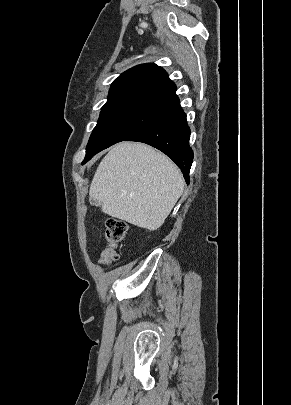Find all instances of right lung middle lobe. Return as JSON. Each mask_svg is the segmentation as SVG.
<instances>
[{"instance_id": "obj_1", "label": "right lung middle lobe", "mask_w": 291, "mask_h": 405, "mask_svg": "<svg viewBox=\"0 0 291 405\" xmlns=\"http://www.w3.org/2000/svg\"><path fill=\"white\" fill-rule=\"evenodd\" d=\"M171 105L148 100H127L105 104L89 139L84 162L109 146L150 125L164 115Z\"/></svg>"}]
</instances>
